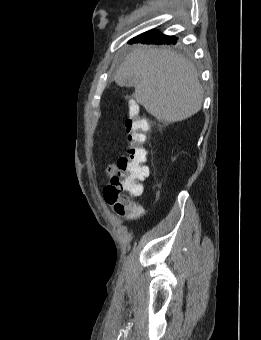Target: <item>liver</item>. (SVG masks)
<instances>
[{"label":"liver","instance_id":"obj_1","mask_svg":"<svg viewBox=\"0 0 261 340\" xmlns=\"http://www.w3.org/2000/svg\"><path fill=\"white\" fill-rule=\"evenodd\" d=\"M115 82L134 86V97L160 122L174 123L197 113L203 91L194 65L166 48L133 49L119 66Z\"/></svg>","mask_w":261,"mask_h":340}]
</instances>
